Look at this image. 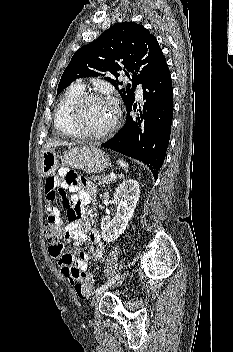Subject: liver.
<instances>
[{"instance_id":"obj_1","label":"liver","mask_w":233,"mask_h":352,"mask_svg":"<svg viewBox=\"0 0 233 352\" xmlns=\"http://www.w3.org/2000/svg\"><path fill=\"white\" fill-rule=\"evenodd\" d=\"M61 145H65V146H70L71 144H69L68 142H63V141H54V142H48L44 145V150L51 148V147H56V146H61Z\"/></svg>"}]
</instances>
